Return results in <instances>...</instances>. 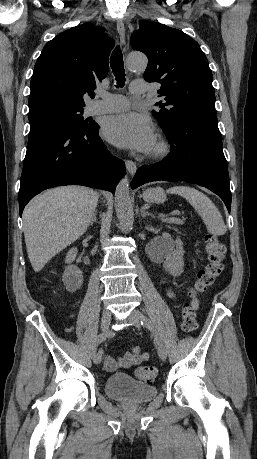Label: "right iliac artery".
Returning <instances> with one entry per match:
<instances>
[{
	"mask_svg": "<svg viewBox=\"0 0 257 459\" xmlns=\"http://www.w3.org/2000/svg\"><path fill=\"white\" fill-rule=\"evenodd\" d=\"M108 333H101L99 335H97L94 340H93V344H92V347H91V351H92V354H95L96 353V349H97V346L102 343L103 341H105L108 337ZM99 353L102 355V351L100 350Z\"/></svg>",
	"mask_w": 257,
	"mask_h": 459,
	"instance_id": "obj_1",
	"label": "right iliac artery"
}]
</instances>
